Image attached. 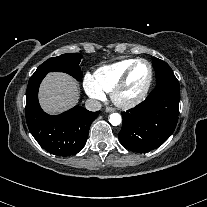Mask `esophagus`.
<instances>
[{
    "label": "esophagus",
    "mask_w": 207,
    "mask_h": 207,
    "mask_svg": "<svg viewBox=\"0 0 207 207\" xmlns=\"http://www.w3.org/2000/svg\"><path fill=\"white\" fill-rule=\"evenodd\" d=\"M105 111H106L107 113H110V112H113V111H114V109H113V108H111V107H107V108L105 109Z\"/></svg>",
    "instance_id": "obj_1"
}]
</instances>
